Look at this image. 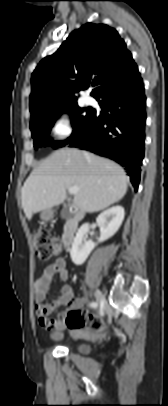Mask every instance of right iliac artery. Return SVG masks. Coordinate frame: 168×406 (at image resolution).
I'll use <instances>...</instances> for the list:
<instances>
[{"label":"right iliac artery","mask_w":168,"mask_h":406,"mask_svg":"<svg viewBox=\"0 0 168 406\" xmlns=\"http://www.w3.org/2000/svg\"><path fill=\"white\" fill-rule=\"evenodd\" d=\"M90 306H91V307H95V306H96V303L91 302V303H90Z\"/></svg>","instance_id":"obj_1"}]
</instances>
